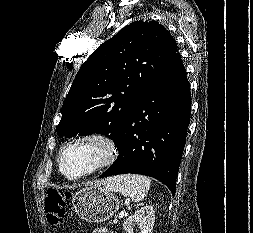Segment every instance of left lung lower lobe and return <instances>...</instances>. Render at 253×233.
Segmentation results:
<instances>
[{
  "mask_svg": "<svg viewBox=\"0 0 253 233\" xmlns=\"http://www.w3.org/2000/svg\"><path fill=\"white\" fill-rule=\"evenodd\" d=\"M190 109L189 82L176 52L161 78L125 119L115 143L118 158L100 178L125 173L147 175L164 183L174 195Z\"/></svg>",
  "mask_w": 253,
  "mask_h": 233,
  "instance_id": "left-lung-lower-lobe-1",
  "label": "left lung lower lobe"
}]
</instances>
